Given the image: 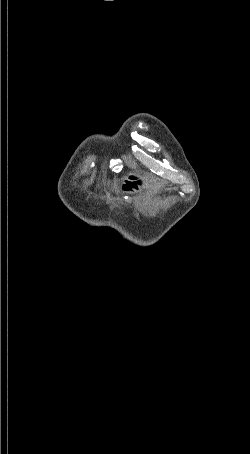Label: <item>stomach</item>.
<instances>
[{
	"label": "stomach",
	"mask_w": 250,
	"mask_h": 454,
	"mask_svg": "<svg viewBox=\"0 0 250 454\" xmlns=\"http://www.w3.org/2000/svg\"><path fill=\"white\" fill-rule=\"evenodd\" d=\"M127 176H139V175H136V174H129ZM122 184H123V181H122ZM146 186H151L150 183L148 182L147 185H137V187H146Z\"/></svg>",
	"instance_id": "0dacf381"
}]
</instances>
